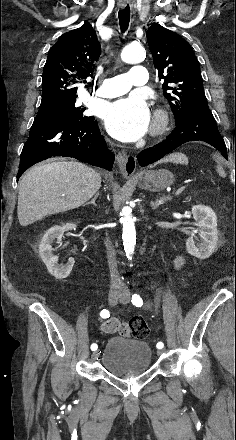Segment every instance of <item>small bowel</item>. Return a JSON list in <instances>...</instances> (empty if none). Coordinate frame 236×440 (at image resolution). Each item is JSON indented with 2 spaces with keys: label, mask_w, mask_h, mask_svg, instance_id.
Instances as JSON below:
<instances>
[{
  "label": "small bowel",
  "mask_w": 236,
  "mask_h": 440,
  "mask_svg": "<svg viewBox=\"0 0 236 440\" xmlns=\"http://www.w3.org/2000/svg\"><path fill=\"white\" fill-rule=\"evenodd\" d=\"M185 257L182 255H177L174 260L175 267L180 269L185 264ZM102 328L104 333H118L119 339L129 340L131 329L130 321H120L117 318H111L102 323Z\"/></svg>",
  "instance_id": "small-bowel-1"
}]
</instances>
